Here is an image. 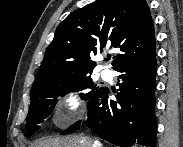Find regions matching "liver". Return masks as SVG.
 I'll list each match as a JSON object with an SVG mask.
<instances>
[{
	"instance_id": "1",
	"label": "liver",
	"mask_w": 183,
	"mask_h": 147,
	"mask_svg": "<svg viewBox=\"0 0 183 147\" xmlns=\"http://www.w3.org/2000/svg\"><path fill=\"white\" fill-rule=\"evenodd\" d=\"M93 140L84 136H68L39 140L32 147H93Z\"/></svg>"
}]
</instances>
